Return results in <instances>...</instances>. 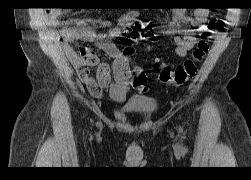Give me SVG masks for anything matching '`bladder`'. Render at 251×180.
Masks as SVG:
<instances>
[{
	"label": "bladder",
	"instance_id": "bladder-1",
	"mask_svg": "<svg viewBox=\"0 0 251 180\" xmlns=\"http://www.w3.org/2000/svg\"><path fill=\"white\" fill-rule=\"evenodd\" d=\"M158 108L157 100L152 97L136 98L127 102L121 110L124 113H153Z\"/></svg>",
	"mask_w": 251,
	"mask_h": 180
}]
</instances>
